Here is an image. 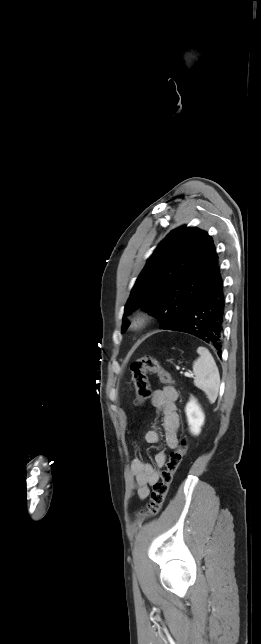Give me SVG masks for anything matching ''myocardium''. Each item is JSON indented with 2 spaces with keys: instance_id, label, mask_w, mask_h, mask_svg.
I'll return each mask as SVG.
<instances>
[{
  "instance_id": "myocardium-1",
  "label": "myocardium",
  "mask_w": 261,
  "mask_h": 644,
  "mask_svg": "<svg viewBox=\"0 0 261 644\" xmlns=\"http://www.w3.org/2000/svg\"><path fill=\"white\" fill-rule=\"evenodd\" d=\"M150 314L147 311L137 312L131 320V329L134 331L141 330L147 326L150 321Z\"/></svg>"
}]
</instances>
